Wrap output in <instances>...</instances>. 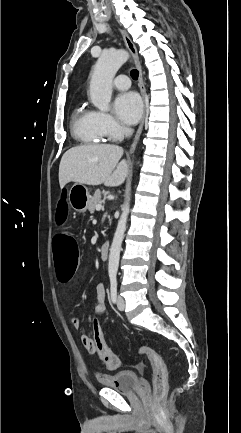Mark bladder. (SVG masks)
Listing matches in <instances>:
<instances>
[{
  "label": "bladder",
  "instance_id": "bladder-1",
  "mask_svg": "<svg viewBox=\"0 0 241 433\" xmlns=\"http://www.w3.org/2000/svg\"><path fill=\"white\" fill-rule=\"evenodd\" d=\"M97 382L105 387L120 392H133L140 383L139 376L134 371H119L113 374H98Z\"/></svg>",
  "mask_w": 241,
  "mask_h": 433
}]
</instances>
